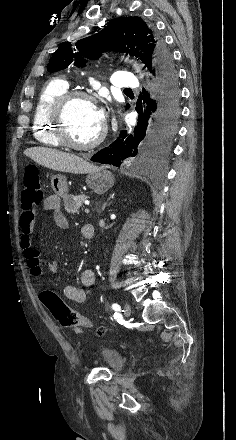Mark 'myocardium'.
<instances>
[{"label": "myocardium", "instance_id": "myocardium-1", "mask_svg": "<svg viewBox=\"0 0 236 440\" xmlns=\"http://www.w3.org/2000/svg\"><path fill=\"white\" fill-rule=\"evenodd\" d=\"M86 100L92 104L96 103V99L90 93L83 90H67L59 95L50 107L49 118L53 125V132L57 140L62 146L74 150H90L96 148L104 140L106 135L105 128L88 143H77L73 141L68 133L66 113L75 100Z\"/></svg>", "mask_w": 236, "mask_h": 440}]
</instances>
